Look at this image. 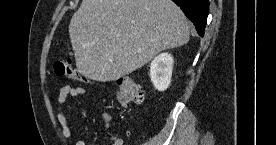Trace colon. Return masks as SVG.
<instances>
[{"instance_id":"1","label":"colon","mask_w":276,"mask_h":145,"mask_svg":"<svg viewBox=\"0 0 276 145\" xmlns=\"http://www.w3.org/2000/svg\"><path fill=\"white\" fill-rule=\"evenodd\" d=\"M54 72L60 77L82 82L88 81V79L82 76L66 58H59L54 62ZM117 86L116 95L121 103H141L143 101V91L132 78L127 76L120 77Z\"/></svg>"}]
</instances>
